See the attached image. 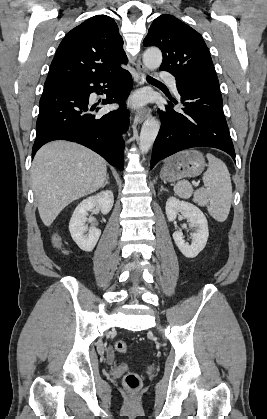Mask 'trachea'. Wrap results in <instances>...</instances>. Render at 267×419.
I'll list each match as a JSON object with an SVG mask.
<instances>
[{
  "instance_id": "trachea-1",
  "label": "trachea",
  "mask_w": 267,
  "mask_h": 419,
  "mask_svg": "<svg viewBox=\"0 0 267 419\" xmlns=\"http://www.w3.org/2000/svg\"><path fill=\"white\" fill-rule=\"evenodd\" d=\"M147 79H148V80L157 81V80H155V79H153L152 77H149V76H147Z\"/></svg>"
}]
</instances>
